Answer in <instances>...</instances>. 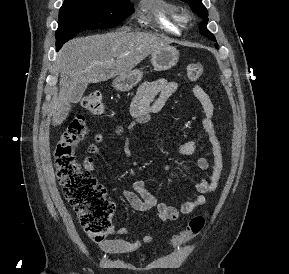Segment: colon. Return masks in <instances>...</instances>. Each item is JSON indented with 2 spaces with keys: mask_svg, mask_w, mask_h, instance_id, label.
Instances as JSON below:
<instances>
[{
  "mask_svg": "<svg viewBox=\"0 0 289 274\" xmlns=\"http://www.w3.org/2000/svg\"><path fill=\"white\" fill-rule=\"evenodd\" d=\"M203 74V65L192 62L187 66L190 81L198 80ZM83 107L92 115L104 111L103 97L98 92L82 100ZM88 132L83 116H76L61 134L54 149L56 174L63 194L78 215L86 234L95 241L103 240L111 231V218L115 206L107 198L106 189L95 177L83 170L76 159L75 150ZM206 225V216L193 217L186 230L173 240L174 246L183 245L198 236Z\"/></svg>",
  "mask_w": 289,
  "mask_h": 274,
  "instance_id": "obj_1",
  "label": "colon"
}]
</instances>
